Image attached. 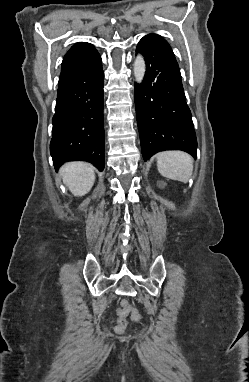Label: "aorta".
<instances>
[{
  "label": "aorta",
  "mask_w": 249,
  "mask_h": 382,
  "mask_svg": "<svg viewBox=\"0 0 249 382\" xmlns=\"http://www.w3.org/2000/svg\"><path fill=\"white\" fill-rule=\"evenodd\" d=\"M134 78L138 84L143 82L145 72H146V64L142 54H137L134 64H133Z\"/></svg>",
  "instance_id": "1"
}]
</instances>
